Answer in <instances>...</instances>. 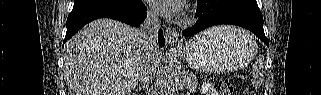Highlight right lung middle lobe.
Instances as JSON below:
<instances>
[{
	"mask_svg": "<svg viewBox=\"0 0 321 95\" xmlns=\"http://www.w3.org/2000/svg\"><path fill=\"white\" fill-rule=\"evenodd\" d=\"M137 1L138 0H74L73 10L101 6L130 7L135 5Z\"/></svg>",
	"mask_w": 321,
	"mask_h": 95,
	"instance_id": "dd1d6c3e",
	"label": "right lung middle lobe"
}]
</instances>
